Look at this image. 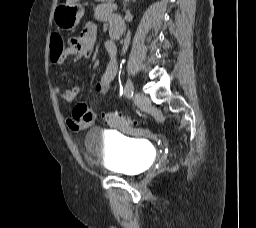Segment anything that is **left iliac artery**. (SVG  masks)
<instances>
[{"label": "left iliac artery", "instance_id": "44dca946", "mask_svg": "<svg viewBox=\"0 0 256 228\" xmlns=\"http://www.w3.org/2000/svg\"><path fill=\"white\" fill-rule=\"evenodd\" d=\"M124 89H125L124 95L127 98H131L134 93V86L130 78L127 79Z\"/></svg>", "mask_w": 256, "mask_h": 228}]
</instances>
